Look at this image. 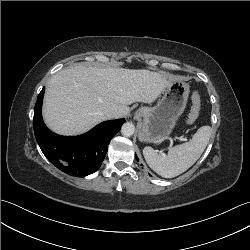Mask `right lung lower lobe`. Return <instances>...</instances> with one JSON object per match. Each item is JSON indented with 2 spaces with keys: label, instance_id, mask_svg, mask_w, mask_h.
<instances>
[{
  "label": "right lung lower lobe",
  "instance_id": "98d812e1",
  "mask_svg": "<svg viewBox=\"0 0 250 250\" xmlns=\"http://www.w3.org/2000/svg\"><path fill=\"white\" fill-rule=\"evenodd\" d=\"M44 91L43 87L37 98L33 118L35 137L43 154L68 175L82 177L96 172L106 156L108 143L120 130L125 119L102 122L80 136L57 135L42 120Z\"/></svg>",
  "mask_w": 250,
  "mask_h": 250
}]
</instances>
